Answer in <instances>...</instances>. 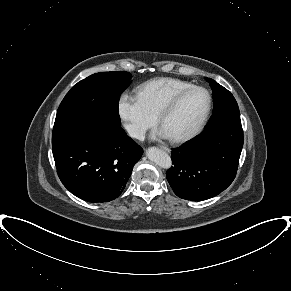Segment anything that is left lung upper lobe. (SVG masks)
Here are the masks:
<instances>
[{"label": "left lung upper lobe", "instance_id": "obj_1", "mask_svg": "<svg viewBox=\"0 0 291 291\" xmlns=\"http://www.w3.org/2000/svg\"><path fill=\"white\" fill-rule=\"evenodd\" d=\"M213 90L214 111L206 129L221 122L241 123L240 112L233 95L210 78H206Z\"/></svg>", "mask_w": 291, "mask_h": 291}]
</instances>
